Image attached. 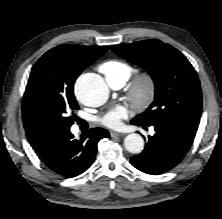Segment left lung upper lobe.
Returning <instances> with one entry per match:
<instances>
[{
  "label": "left lung upper lobe",
  "mask_w": 222,
  "mask_h": 219,
  "mask_svg": "<svg viewBox=\"0 0 222 219\" xmlns=\"http://www.w3.org/2000/svg\"><path fill=\"white\" fill-rule=\"evenodd\" d=\"M111 49L147 70L155 83L154 102L132 121L150 126L174 120L198 129L201 86L195 69L181 52L157 39L116 45Z\"/></svg>",
  "instance_id": "1"
}]
</instances>
